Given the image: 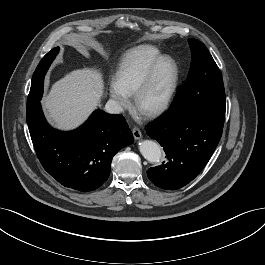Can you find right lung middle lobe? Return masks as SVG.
Listing matches in <instances>:
<instances>
[{"label": "right lung middle lobe", "mask_w": 265, "mask_h": 265, "mask_svg": "<svg viewBox=\"0 0 265 265\" xmlns=\"http://www.w3.org/2000/svg\"><path fill=\"white\" fill-rule=\"evenodd\" d=\"M58 52H59V47L52 49L49 53H47L44 56V58L37 66L32 77L31 89L27 100V110L31 109L37 103H39L43 94L44 75L47 72L53 59L58 54Z\"/></svg>", "instance_id": "1"}]
</instances>
